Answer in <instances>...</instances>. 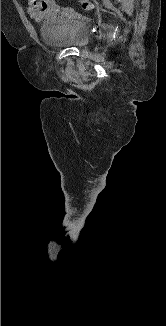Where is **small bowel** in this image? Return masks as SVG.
<instances>
[{
	"label": "small bowel",
	"mask_w": 166,
	"mask_h": 326,
	"mask_svg": "<svg viewBox=\"0 0 166 326\" xmlns=\"http://www.w3.org/2000/svg\"><path fill=\"white\" fill-rule=\"evenodd\" d=\"M61 10L69 12L67 8L61 9L55 0H27L26 11L36 21L55 16Z\"/></svg>",
	"instance_id": "1"
}]
</instances>
